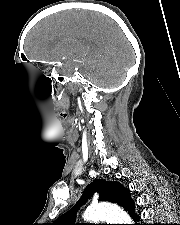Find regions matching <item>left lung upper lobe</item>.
<instances>
[{
    "mask_svg": "<svg viewBox=\"0 0 180 225\" xmlns=\"http://www.w3.org/2000/svg\"><path fill=\"white\" fill-rule=\"evenodd\" d=\"M97 191L99 192V200L117 203L129 212L132 211L134 207L133 202L126 188L117 182L97 179L87 187L81 199L72 210L61 215L50 225H79L74 223L78 207L81 206L92 193Z\"/></svg>",
    "mask_w": 180,
    "mask_h": 225,
    "instance_id": "left-lung-upper-lobe-1",
    "label": "left lung upper lobe"
}]
</instances>
